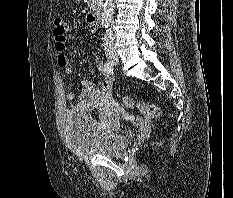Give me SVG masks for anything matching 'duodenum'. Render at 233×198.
<instances>
[{
  "instance_id": "1",
  "label": "duodenum",
  "mask_w": 233,
  "mask_h": 198,
  "mask_svg": "<svg viewBox=\"0 0 233 198\" xmlns=\"http://www.w3.org/2000/svg\"><path fill=\"white\" fill-rule=\"evenodd\" d=\"M100 16H101V13L99 9H94L90 11L87 15L88 24L91 26L97 25L99 23Z\"/></svg>"
}]
</instances>
